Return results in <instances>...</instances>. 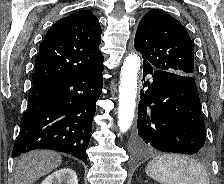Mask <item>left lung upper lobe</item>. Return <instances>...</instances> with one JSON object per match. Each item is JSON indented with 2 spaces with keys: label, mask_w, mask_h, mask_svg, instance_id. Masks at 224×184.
Segmentation results:
<instances>
[{
  "label": "left lung upper lobe",
  "mask_w": 224,
  "mask_h": 184,
  "mask_svg": "<svg viewBox=\"0 0 224 184\" xmlns=\"http://www.w3.org/2000/svg\"><path fill=\"white\" fill-rule=\"evenodd\" d=\"M143 66L183 76H194L193 45L185 27L167 13L154 9L141 19L134 39Z\"/></svg>",
  "instance_id": "1"
}]
</instances>
